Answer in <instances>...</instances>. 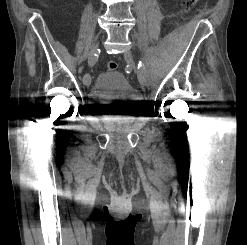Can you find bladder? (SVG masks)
I'll use <instances>...</instances> for the list:
<instances>
[{"mask_svg": "<svg viewBox=\"0 0 247 245\" xmlns=\"http://www.w3.org/2000/svg\"><path fill=\"white\" fill-rule=\"evenodd\" d=\"M91 105L99 113L131 112L141 103L139 93L119 71H105L98 75L88 92Z\"/></svg>", "mask_w": 247, "mask_h": 245, "instance_id": "1", "label": "bladder"}]
</instances>
